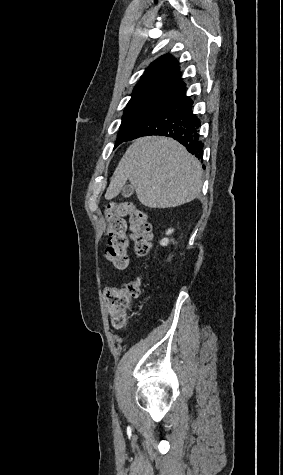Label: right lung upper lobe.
<instances>
[{
  "label": "right lung upper lobe",
  "instance_id": "1",
  "mask_svg": "<svg viewBox=\"0 0 283 475\" xmlns=\"http://www.w3.org/2000/svg\"><path fill=\"white\" fill-rule=\"evenodd\" d=\"M185 86L180 79V69L175 58L170 55H163L155 60L146 69L135 86L132 97H137L161 89H175L176 91Z\"/></svg>",
  "mask_w": 283,
  "mask_h": 475
}]
</instances>
